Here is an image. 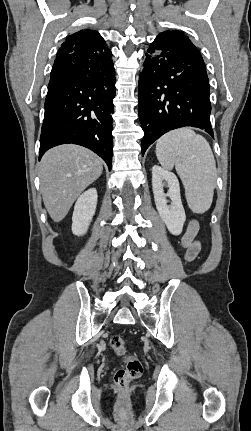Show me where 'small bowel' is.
<instances>
[{
    "label": "small bowel",
    "instance_id": "c3829d8e",
    "mask_svg": "<svg viewBox=\"0 0 251 431\" xmlns=\"http://www.w3.org/2000/svg\"><path fill=\"white\" fill-rule=\"evenodd\" d=\"M198 222L196 220H191L188 223L186 232L181 238V249L184 251V256L187 261L194 260L201 249V244L196 240V235L198 233Z\"/></svg>",
    "mask_w": 251,
    "mask_h": 431
}]
</instances>
